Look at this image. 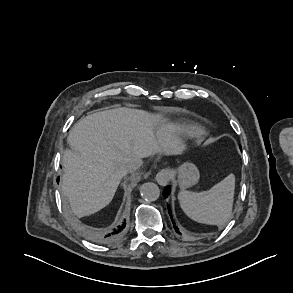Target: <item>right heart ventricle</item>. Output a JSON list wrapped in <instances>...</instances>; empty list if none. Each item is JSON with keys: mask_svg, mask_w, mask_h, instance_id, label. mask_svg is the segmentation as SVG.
<instances>
[{"mask_svg": "<svg viewBox=\"0 0 293 293\" xmlns=\"http://www.w3.org/2000/svg\"><path fill=\"white\" fill-rule=\"evenodd\" d=\"M197 132V126L194 123L187 121L170 123L165 129L166 135H168L171 139H179L188 134H196Z\"/></svg>", "mask_w": 293, "mask_h": 293, "instance_id": "right-heart-ventricle-1", "label": "right heart ventricle"}]
</instances>
